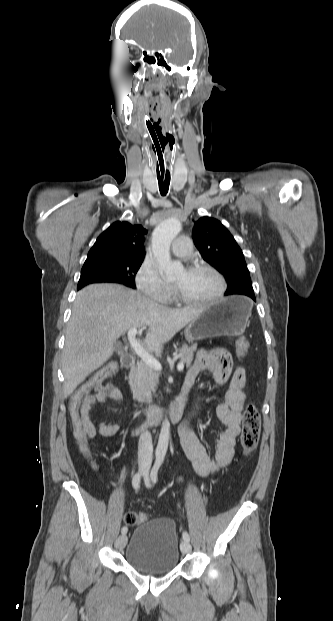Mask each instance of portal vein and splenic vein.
I'll list each match as a JSON object with an SVG mask.
<instances>
[{"mask_svg":"<svg viewBox=\"0 0 333 621\" xmlns=\"http://www.w3.org/2000/svg\"><path fill=\"white\" fill-rule=\"evenodd\" d=\"M137 328L133 327L128 330V341L134 350V352L150 367L161 370L162 366L158 360H156L153 356H151L140 344V342L136 339ZM184 369V363L180 362L177 365V370L182 371Z\"/></svg>","mask_w":333,"mask_h":621,"instance_id":"obj_1","label":"portal vein and splenic vein"}]
</instances>
